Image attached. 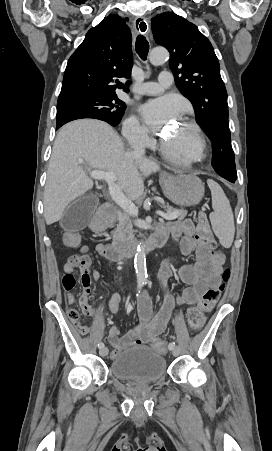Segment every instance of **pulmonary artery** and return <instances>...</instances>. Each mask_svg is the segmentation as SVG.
I'll return each mask as SVG.
<instances>
[{"label":"pulmonary artery","instance_id":"obj_1","mask_svg":"<svg viewBox=\"0 0 272 451\" xmlns=\"http://www.w3.org/2000/svg\"><path fill=\"white\" fill-rule=\"evenodd\" d=\"M172 83V70L170 68H164L158 77V82L145 83L143 86L135 89V92L142 95H158Z\"/></svg>","mask_w":272,"mask_h":451}]
</instances>
